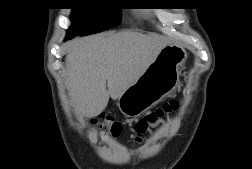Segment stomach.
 Segmentation results:
<instances>
[{
	"instance_id": "obj_1",
	"label": "stomach",
	"mask_w": 252,
	"mask_h": 169,
	"mask_svg": "<svg viewBox=\"0 0 252 169\" xmlns=\"http://www.w3.org/2000/svg\"><path fill=\"white\" fill-rule=\"evenodd\" d=\"M187 54L167 44L140 78L119 97L117 105L126 117L136 118L172 93L179 83V66Z\"/></svg>"
}]
</instances>
